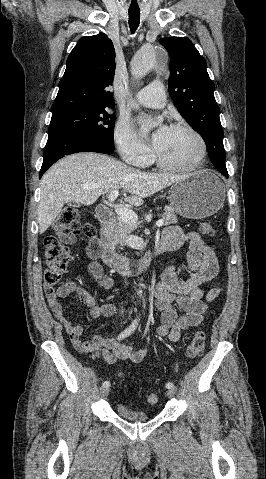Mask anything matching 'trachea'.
<instances>
[{
    "label": "trachea",
    "mask_w": 266,
    "mask_h": 479,
    "mask_svg": "<svg viewBox=\"0 0 266 479\" xmlns=\"http://www.w3.org/2000/svg\"><path fill=\"white\" fill-rule=\"evenodd\" d=\"M129 27L132 33L136 31L140 23V10L129 9Z\"/></svg>",
    "instance_id": "trachea-1"
}]
</instances>
